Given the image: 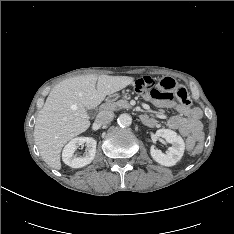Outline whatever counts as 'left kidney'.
<instances>
[{
  "label": "left kidney",
  "instance_id": "1",
  "mask_svg": "<svg viewBox=\"0 0 234 234\" xmlns=\"http://www.w3.org/2000/svg\"><path fill=\"white\" fill-rule=\"evenodd\" d=\"M156 138H163L172 146L168 148L166 153L151 147L150 153L152 158L163 166H174L182 158L185 150V143L181 136L170 129H159L156 131Z\"/></svg>",
  "mask_w": 234,
  "mask_h": 234
}]
</instances>
